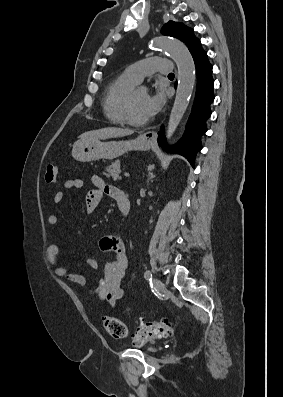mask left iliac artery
I'll return each instance as SVG.
<instances>
[{
	"label": "left iliac artery",
	"mask_w": 283,
	"mask_h": 397,
	"mask_svg": "<svg viewBox=\"0 0 283 397\" xmlns=\"http://www.w3.org/2000/svg\"><path fill=\"white\" fill-rule=\"evenodd\" d=\"M144 277H145L146 280L152 281V273H151V271L147 270L144 273Z\"/></svg>",
	"instance_id": "1"
}]
</instances>
